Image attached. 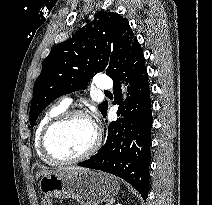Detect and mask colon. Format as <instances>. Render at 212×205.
<instances>
[{
  "label": "colon",
  "mask_w": 212,
  "mask_h": 205,
  "mask_svg": "<svg viewBox=\"0 0 212 205\" xmlns=\"http://www.w3.org/2000/svg\"><path fill=\"white\" fill-rule=\"evenodd\" d=\"M41 205H53V203L49 197L44 196L41 200Z\"/></svg>",
  "instance_id": "colon-1"
}]
</instances>
